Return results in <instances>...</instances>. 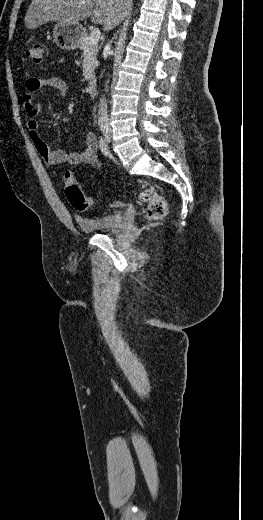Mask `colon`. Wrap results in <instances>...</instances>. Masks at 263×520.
Wrapping results in <instances>:
<instances>
[{"label":"colon","instance_id":"colon-1","mask_svg":"<svg viewBox=\"0 0 263 520\" xmlns=\"http://www.w3.org/2000/svg\"><path fill=\"white\" fill-rule=\"evenodd\" d=\"M43 50L42 42L35 41L26 49L25 54L33 62L40 63ZM63 184L66 198L75 210L84 212L93 206V199L82 192L72 173L66 172L64 174ZM139 200L146 206L145 214L148 219L160 220L166 216V201L154 187L143 190L139 195Z\"/></svg>","mask_w":263,"mask_h":520}]
</instances>
